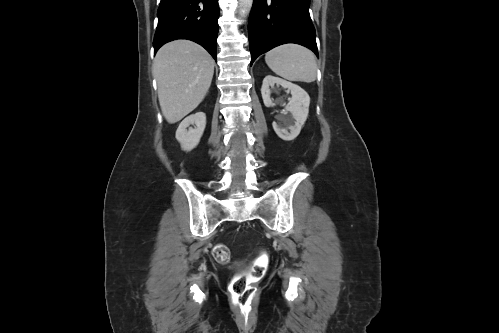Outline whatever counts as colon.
I'll list each match as a JSON object with an SVG mask.
<instances>
[{
  "mask_svg": "<svg viewBox=\"0 0 499 333\" xmlns=\"http://www.w3.org/2000/svg\"><path fill=\"white\" fill-rule=\"evenodd\" d=\"M215 260L226 263L230 260V251L225 244H216L212 250ZM265 271V261H257L247 275L237 276L231 284V294L233 304L245 315L252 307L253 288L250 281L259 279Z\"/></svg>",
  "mask_w": 499,
  "mask_h": 333,
  "instance_id": "5ec220e1",
  "label": "colon"
}]
</instances>
